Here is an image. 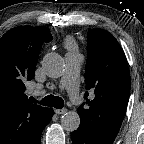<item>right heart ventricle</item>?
I'll list each match as a JSON object with an SVG mask.
<instances>
[{"label": "right heart ventricle", "mask_w": 144, "mask_h": 144, "mask_svg": "<svg viewBox=\"0 0 144 144\" xmlns=\"http://www.w3.org/2000/svg\"><path fill=\"white\" fill-rule=\"evenodd\" d=\"M65 46L68 48V49H74L75 48V42L72 40V39H67L65 41Z\"/></svg>", "instance_id": "e07e8e85"}]
</instances>
